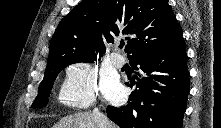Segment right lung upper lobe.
I'll use <instances>...</instances> for the list:
<instances>
[{"label": "right lung upper lobe", "mask_w": 221, "mask_h": 128, "mask_svg": "<svg viewBox=\"0 0 221 128\" xmlns=\"http://www.w3.org/2000/svg\"><path fill=\"white\" fill-rule=\"evenodd\" d=\"M127 35L132 58L169 47L182 30L167 0H83L59 23L50 43L48 63L69 59L97 60L104 43Z\"/></svg>", "instance_id": "cb5924a9"}]
</instances>
